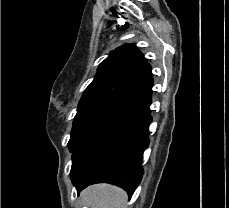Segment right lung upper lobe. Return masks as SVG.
<instances>
[{"instance_id": "cb5924a9", "label": "right lung upper lobe", "mask_w": 229, "mask_h": 208, "mask_svg": "<svg viewBox=\"0 0 229 208\" xmlns=\"http://www.w3.org/2000/svg\"><path fill=\"white\" fill-rule=\"evenodd\" d=\"M151 66L135 44L113 50L99 65L94 80L85 89L79 105L117 97L149 106L152 99Z\"/></svg>"}]
</instances>
